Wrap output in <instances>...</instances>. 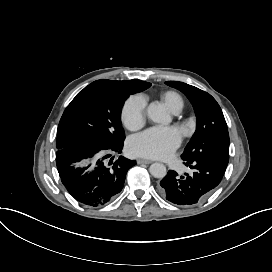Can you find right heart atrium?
<instances>
[{
	"label": "right heart atrium",
	"mask_w": 272,
	"mask_h": 272,
	"mask_svg": "<svg viewBox=\"0 0 272 272\" xmlns=\"http://www.w3.org/2000/svg\"><path fill=\"white\" fill-rule=\"evenodd\" d=\"M146 114V100L141 95H133L127 99L122 111L124 125L130 130L143 126Z\"/></svg>",
	"instance_id": "1"
}]
</instances>
